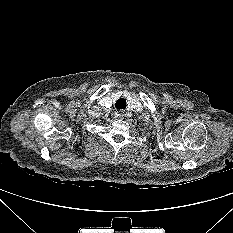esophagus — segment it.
<instances>
[{
  "mask_svg": "<svg viewBox=\"0 0 233 233\" xmlns=\"http://www.w3.org/2000/svg\"><path fill=\"white\" fill-rule=\"evenodd\" d=\"M125 115H126V113H125V111H123V110H121V111L118 112L119 118H124Z\"/></svg>",
  "mask_w": 233,
  "mask_h": 233,
  "instance_id": "obj_1",
  "label": "esophagus"
}]
</instances>
